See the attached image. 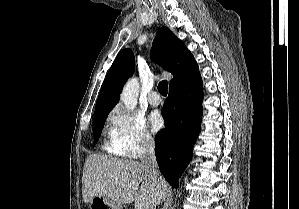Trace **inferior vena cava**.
<instances>
[{
    "mask_svg": "<svg viewBox=\"0 0 299 209\" xmlns=\"http://www.w3.org/2000/svg\"><path fill=\"white\" fill-rule=\"evenodd\" d=\"M140 160L142 165L149 171L154 179L158 181L162 179L155 157V145L150 137H146L142 141Z\"/></svg>",
    "mask_w": 299,
    "mask_h": 209,
    "instance_id": "1",
    "label": "inferior vena cava"
}]
</instances>
